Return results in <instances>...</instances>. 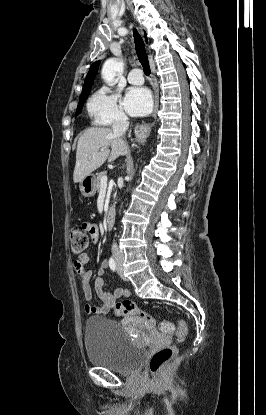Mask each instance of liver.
<instances>
[{"label": "liver", "instance_id": "obj_1", "mask_svg": "<svg viewBox=\"0 0 266 415\" xmlns=\"http://www.w3.org/2000/svg\"><path fill=\"white\" fill-rule=\"evenodd\" d=\"M127 151L125 142L115 136L110 128L92 127L84 130L77 144L74 183L81 182L107 159L112 162Z\"/></svg>", "mask_w": 266, "mask_h": 415}]
</instances>
